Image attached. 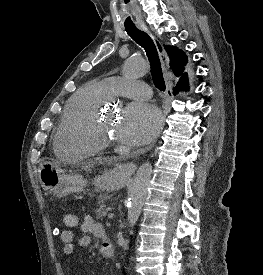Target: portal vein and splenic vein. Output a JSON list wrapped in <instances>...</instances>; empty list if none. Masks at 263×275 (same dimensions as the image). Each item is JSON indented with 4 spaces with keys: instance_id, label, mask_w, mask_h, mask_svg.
Here are the masks:
<instances>
[{
    "instance_id": "1",
    "label": "portal vein and splenic vein",
    "mask_w": 263,
    "mask_h": 275,
    "mask_svg": "<svg viewBox=\"0 0 263 275\" xmlns=\"http://www.w3.org/2000/svg\"><path fill=\"white\" fill-rule=\"evenodd\" d=\"M113 217H114V214H113V213H109V214H108V218H109V219H111V218H113Z\"/></svg>"
}]
</instances>
